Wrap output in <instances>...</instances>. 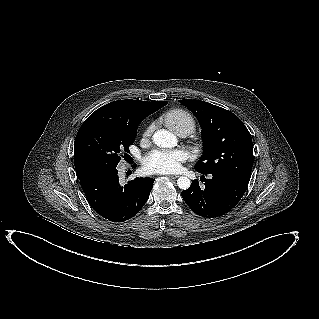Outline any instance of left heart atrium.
<instances>
[{"mask_svg": "<svg viewBox=\"0 0 319 319\" xmlns=\"http://www.w3.org/2000/svg\"><path fill=\"white\" fill-rule=\"evenodd\" d=\"M184 155L179 150H153L142 159L145 172L150 174H165L179 169Z\"/></svg>", "mask_w": 319, "mask_h": 319, "instance_id": "1", "label": "left heart atrium"}]
</instances>
